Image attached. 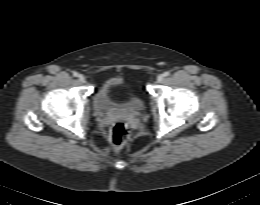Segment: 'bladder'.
<instances>
[{
	"label": "bladder",
	"mask_w": 260,
	"mask_h": 205,
	"mask_svg": "<svg viewBox=\"0 0 260 205\" xmlns=\"http://www.w3.org/2000/svg\"><path fill=\"white\" fill-rule=\"evenodd\" d=\"M124 84L121 77H113L102 82L93 98V108L100 114H113L124 111L138 113L143 109V100L136 94H130L121 101L112 98V91Z\"/></svg>",
	"instance_id": "31cf9c89"
}]
</instances>
